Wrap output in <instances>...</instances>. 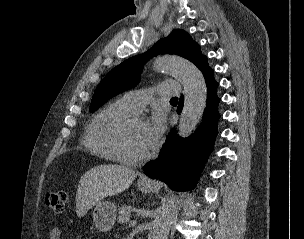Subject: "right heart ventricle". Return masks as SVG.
Returning a JSON list of instances; mask_svg holds the SVG:
<instances>
[{"label":"right heart ventricle","mask_w":304,"mask_h":239,"mask_svg":"<svg viewBox=\"0 0 304 239\" xmlns=\"http://www.w3.org/2000/svg\"><path fill=\"white\" fill-rule=\"evenodd\" d=\"M134 113L121 99L104 106L85 127L82 141L84 148L100 158L118 162L113 147L114 131L124 119Z\"/></svg>","instance_id":"1"}]
</instances>
